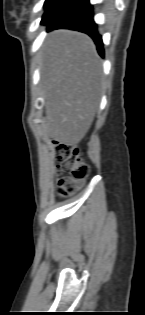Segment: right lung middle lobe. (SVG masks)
Listing matches in <instances>:
<instances>
[{
  "mask_svg": "<svg viewBox=\"0 0 145 315\" xmlns=\"http://www.w3.org/2000/svg\"><path fill=\"white\" fill-rule=\"evenodd\" d=\"M66 1L67 0H46L44 3L45 13L42 17L41 24H47Z\"/></svg>",
  "mask_w": 145,
  "mask_h": 315,
  "instance_id": "dd1d6c3e",
  "label": "right lung middle lobe"
}]
</instances>
